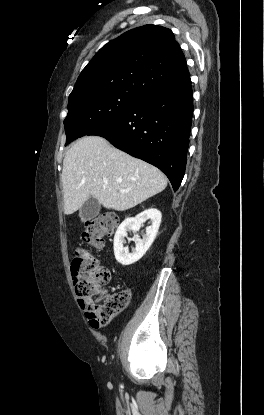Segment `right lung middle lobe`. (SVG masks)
Returning <instances> with one entry per match:
<instances>
[{
    "label": "right lung middle lobe",
    "mask_w": 264,
    "mask_h": 415,
    "mask_svg": "<svg viewBox=\"0 0 264 415\" xmlns=\"http://www.w3.org/2000/svg\"><path fill=\"white\" fill-rule=\"evenodd\" d=\"M141 98L128 92L112 91L69 99L64 120L65 145L119 117Z\"/></svg>",
    "instance_id": "right-lung-middle-lobe-1"
}]
</instances>
